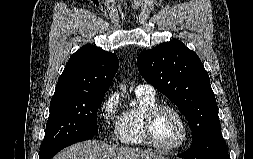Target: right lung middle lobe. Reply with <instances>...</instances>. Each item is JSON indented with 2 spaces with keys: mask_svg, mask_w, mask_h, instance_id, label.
<instances>
[{
  "mask_svg": "<svg viewBox=\"0 0 253 159\" xmlns=\"http://www.w3.org/2000/svg\"><path fill=\"white\" fill-rule=\"evenodd\" d=\"M104 95L81 93L52 98L39 159H45L69 141L95 135L98 132L96 115Z\"/></svg>",
  "mask_w": 253,
  "mask_h": 159,
  "instance_id": "dd1d6c3e",
  "label": "right lung middle lobe"
}]
</instances>
